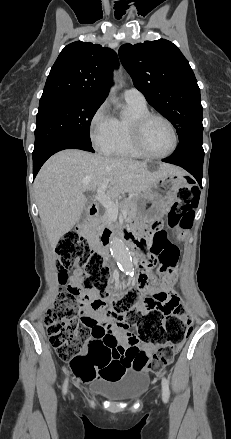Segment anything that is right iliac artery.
I'll return each instance as SVG.
<instances>
[{"label": "right iliac artery", "mask_w": 231, "mask_h": 439, "mask_svg": "<svg viewBox=\"0 0 231 439\" xmlns=\"http://www.w3.org/2000/svg\"><path fill=\"white\" fill-rule=\"evenodd\" d=\"M67 383H68V380L66 379V380H65V383H64V386H63V391H64V393L66 392Z\"/></svg>", "instance_id": "right-iliac-artery-1"}]
</instances>
